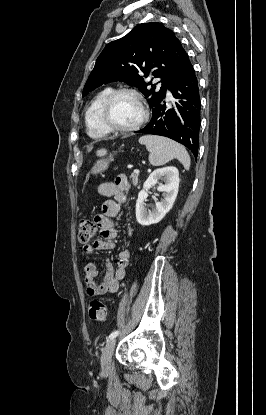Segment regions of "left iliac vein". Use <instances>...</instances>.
I'll use <instances>...</instances> for the list:
<instances>
[{
	"instance_id": "obj_1",
	"label": "left iliac vein",
	"mask_w": 266,
	"mask_h": 415,
	"mask_svg": "<svg viewBox=\"0 0 266 415\" xmlns=\"http://www.w3.org/2000/svg\"><path fill=\"white\" fill-rule=\"evenodd\" d=\"M116 339L108 340L105 347L102 350L101 355V368L103 373H107L110 368L111 358L114 352Z\"/></svg>"
}]
</instances>
